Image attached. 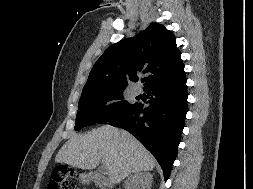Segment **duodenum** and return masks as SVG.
I'll use <instances>...</instances> for the list:
<instances>
[{"label": "duodenum", "instance_id": "obj_1", "mask_svg": "<svg viewBox=\"0 0 253 189\" xmlns=\"http://www.w3.org/2000/svg\"><path fill=\"white\" fill-rule=\"evenodd\" d=\"M85 181L86 182H93L97 186L102 187V189H107L110 186L108 180L103 175H101L97 172H92V173L88 174L85 178Z\"/></svg>", "mask_w": 253, "mask_h": 189}]
</instances>
